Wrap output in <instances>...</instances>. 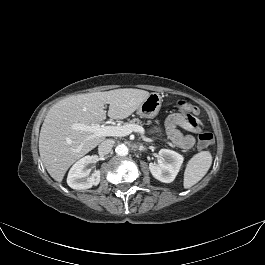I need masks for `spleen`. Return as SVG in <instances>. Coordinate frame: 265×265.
I'll use <instances>...</instances> for the list:
<instances>
[{
  "instance_id": "1",
  "label": "spleen",
  "mask_w": 265,
  "mask_h": 265,
  "mask_svg": "<svg viewBox=\"0 0 265 265\" xmlns=\"http://www.w3.org/2000/svg\"><path fill=\"white\" fill-rule=\"evenodd\" d=\"M212 164L209 151H202L194 155L188 162L184 172V188H190L198 183L208 172Z\"/></svg>"
}]
</instances>
